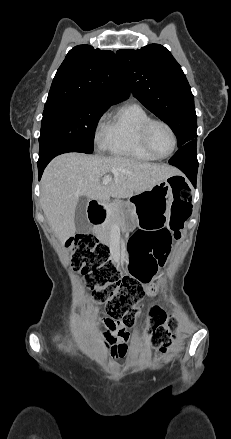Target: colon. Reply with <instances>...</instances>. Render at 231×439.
I'll return each instance as SVG.
<instances>
[{"mask_svg": "<svg viewBox=\"0 0 231 439\" xmlns=\"http://www.w3.org/2000/svg\"><path fill=\"white\" fill-rule=\"evenodd\" d=\"M175 200L171 206L169 227L176 234L180 233L192 210V190L182 179L171 182ZM143 240L136 235L130 243ZM66 249L71 253L73 268L85 277L86 285L93 291L96 300L105 303L110 317L126 326L134 323L138 312V301L145 295L144 282L148 281L153 271L142 263L132 265V274L122 276L118 267L110 258L106 244L92 234H79L69 239ZM161 265L165 264L162 260ZM176 321L159 308L152 310L148 333L152 345L160 347V353L175 339Z\"/></svg>", "mask_w": 231, "mask_h": 439, "instance_id": "colon-1", "label": "colon"}]
</instances>
